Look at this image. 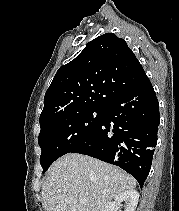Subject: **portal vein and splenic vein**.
<instances>
[{"label": "portal vein and splenic vein", "mask_w": 179, "mask_h": 211, "mask_svg": "<svg viewBox=\"0 0 179 211\" xmlns=\"http://www.w3.org/2000/svg\"><path fill=\"white\" fill-rule=\"evenodd\" d=\"M80 202H81L82 204H85V203H86V199H80Z\"/></svg>", "instance_id": "1"}]
</instances>
